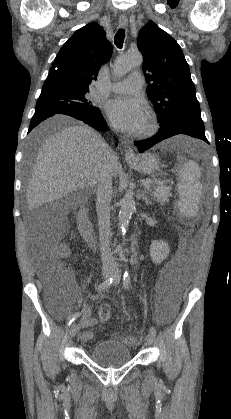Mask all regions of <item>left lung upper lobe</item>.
<instances>
[{
  "label": "left lung upper lobe",
  "mask_w": 231,
  "mask_h": 419,
  "mask_svg": "<svg viewBox=\"0 0 231 419\" xmlns=\"http://www.w3.org/2000/svg\"><path fill=\"white\" fill-rule=\"evenodd\" d=\"M137 41L149 83L147 94L160 125H168L183 114H200L189 66L175 39L150 21L140 31Z\"/></svg>",
  "instance_id": "5c2ea615"
}]
</instances>
